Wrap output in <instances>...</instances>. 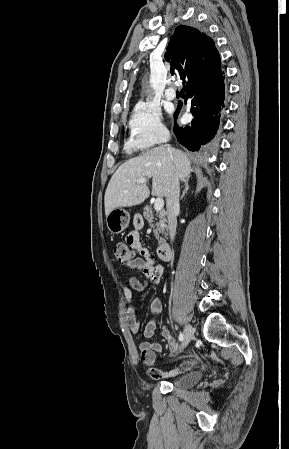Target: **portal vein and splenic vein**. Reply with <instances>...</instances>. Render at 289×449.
I'll use <instances>...</instances> for the list:
<instances>
[{"label": "portal vein and splenic vein", "mask_w": 289, "mask_h": 449, "mask_svg": "<svg viewBox=\"0 0 289 449\" xmlns=\"http://www.w3.org/2000/svg\"><path fill=\"white\" fill-rule=\"evenodd\" d=\"M137 183L142 184V183H147V179L145 178H140L137 180ZM164 206V201L161 197H157L154 203V209L156 211H161L162 208Z\"/></svg>", "instance_id": "portal-vein-and-splenic-vein-1"}]
</instances>
